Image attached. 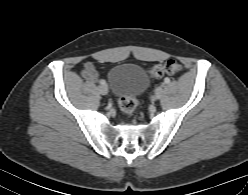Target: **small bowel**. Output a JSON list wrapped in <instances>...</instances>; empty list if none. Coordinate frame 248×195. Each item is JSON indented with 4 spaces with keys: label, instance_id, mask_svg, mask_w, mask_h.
<instances>
[{
    "label": "small bowel",
    "instance_id": "c3829d8e",
    "mask_svg": "<svg viewBox=\"0 0 248 195\" xmlns=\"http://www.w3.org/2000/svg\"><path fill=\"white\" fill-rule=\"evenodd\" d=\"M82 74L88 82H95L99 78V73L92 63L86 64Z\"/></svg>",
    "mask_w": 248,
    "mask_h": 195
}]
</instances>
